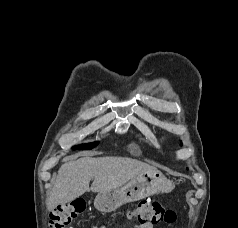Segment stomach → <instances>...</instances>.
Wrapping results in <instances>:
<instances>
[{
	"instance_id": "obj_1",
	"label": "stomach",
	"mask_w": 238,
	"mask_h": 228,
	"mask_svg": "<svg viewBox=\"0 0 238 228\" xmlns=\"http://www.w3.org/2000/svg\"><path fill=\"white\" fill-rule=\"evenodd\" d=\"M174 187L173 181L154 169L136 176L121 188L98 192L94 206L99 211L112 212L125 203L138 201L154 194L168 193Z\"/></svg>"
}]
</instances>
